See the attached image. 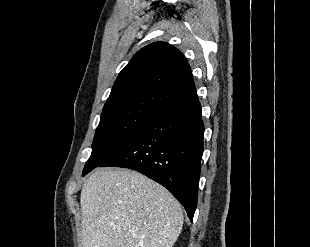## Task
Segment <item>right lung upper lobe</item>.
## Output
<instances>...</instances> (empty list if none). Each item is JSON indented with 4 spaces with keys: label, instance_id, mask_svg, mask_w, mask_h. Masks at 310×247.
<instances>
[{
    "label": "right lung upper lobe",
    "instance_id": "obj_1",
    "mask_svg": "<svg viewBox=\"0 0 310 247\" xmlns=\"http://www.w3.org/2000/svg\"><path fill=\"white\" fill-rule=\"evenodd\" d=\"M194 93L185 56L168 43L155 42L139 50L120 72L102 114L135 106L160 111Z\"/></svg>",
    "mask_w": 310,
    "mask_h": 247
}]
</instances>
